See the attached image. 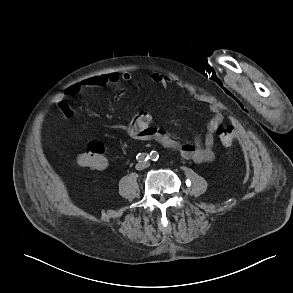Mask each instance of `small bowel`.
I'll list each match as a JSON object with an SVG mask.
<instances>
[{"label":"small bowel","instance_id":"1","mask_svg":"<svg viewBox=\"0 0 293 293\" xmlns=\"http://www.w3.org/2000/svg\"><path fill=\"white\" fill-rule=\"evenodd\" d=\"M150 79L153 83L163 87H168L172 84L180 86L171 77L158 72L153 73ZM122 81L130 82L131 75L129 73H123L91 77L82 83L69 85L62 93L55 96L54 103L66 117H72L74 111L68 105V99L77 95L83 88L118 85ZM141 85L142 83L140 81L135 83L136 87H140ZM211 112L213 115L208 123V132L205 138L203 140L195 139L192 142L186 143L180 142L168 131L154 126L152 116L147 112L137 114L127 125L117 123L113 127L119 131H125L133 139L152 140L167 148L176 150L187 160H192L197 163H209L215 158L213 150L215 143L214 133L223 122V115L216 107H212Z\"/></svg>","mask_w":293,"mask_h":293}]
</instances>
